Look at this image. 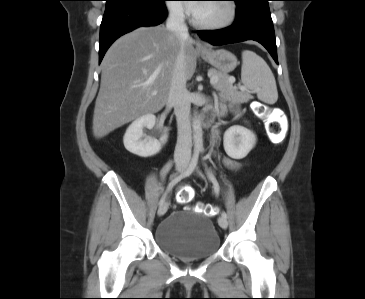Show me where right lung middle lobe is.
<instances>
[{"mask_svg":"<svg viewBox=\"0 0 365 299\" xmlns=\"http://www.w3.org/2000/svg\"><path fill=\"white\" fill-rule=\"evenodd\" d=\"M132 1L161 2V1H165V0H106V6L121 3V2H132Z\"/></svg>","mask_w":365,"mask_h":299,"instance_id":"right-lung-middle-lobe-1","label":"right lung middle lobe"}]
</instances>
